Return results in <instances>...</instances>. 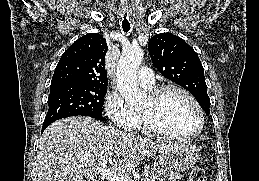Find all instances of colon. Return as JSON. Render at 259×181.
<instances>
[{
  "label": "colon",
  "mask_w": 259,
  "mask_h": 181,
  "mask_svg": "<svg viewBox=\"0 0 259 181\" xmlns=\"http://www.w3.org/2000/svg\"><path fill=\"white\" fill-rule=\"evenodd\" d=\"M190 181H207L204 169L201 167L194 168L190 175Z\"/></svg>",
  "instance_id": "obj_1"
}]
</instances>
